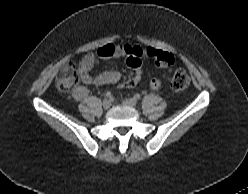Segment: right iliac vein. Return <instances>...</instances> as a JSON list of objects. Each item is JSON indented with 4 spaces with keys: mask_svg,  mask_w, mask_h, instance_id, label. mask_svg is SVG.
I'll use <instances>...</instances> for the list:
<instances>
[{
    "mask_svg": "<svg viewBox=\"0 0 248 194\" xmlns=\"http://www.w3.org/2000/svg\"><path fill=\"white\" fill-rule=\"evenodd\" d=\"M102 106H103L104 109H109L110 106H111L110 100L105 99V100L102 102Z\"/></svg>",
    "mask_w": 248,
    "mask_h": 194,
    "instance_id": "obj_1",
    "label": "right iliac vein"
}]
</instances>
